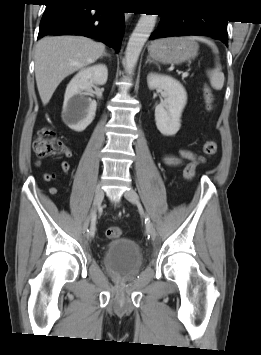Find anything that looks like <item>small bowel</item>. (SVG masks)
Here are the masks:
<instances>
[{"mask_svg": "<svg viewBox=\"0 0 261 355\" xmlns=\"http://www.w3.org/2000/svg\"><path fill=\"white\" fill-rule=\"evenodd\" d=\"M71 155V153L69 151L66 152L65 156L69 157ZM196 157L195 153L192 152L191 150L188 149H183L179 152L178 155H165L164 156V163L168 166H176V165H180L185 161L188 160H194ZM40 162L37 161L36 165H39ZM70 170V164L68 161L63 160L60 163V171L61 173H67ZM56 178V174L55 173H46L43 176V179L46 182H50L55 180ZM57 191L56 188L52 187L50 188V192L51 193H55Z\"/></svg>", "mask_w": 261, "mask_h": 355, "instance_id": "c3829d8e", "label": "small bowel"}]
</instances>
